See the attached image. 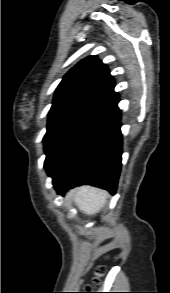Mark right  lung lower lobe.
I'll return each mask as SVG.
<instances>
[{
  "instance_id": "right-lung-lower-lobe-1",
  "label": "right lung lower lobe",
  "mask_w": 170,
  "mask_h": 293,
  "mask_svg": "<svg viewBox=\"0 0 170 293\" xmlns=\"http://www.w3.org/2000/svg\"><path fill=\"white\" fill-rule=\"evenodd\" d=\"M121 113L117 106L54 176L58 194L80 186L93 185L115 193L121 170Z\"/></svg>"
}]
</instances>
